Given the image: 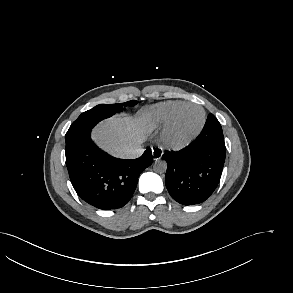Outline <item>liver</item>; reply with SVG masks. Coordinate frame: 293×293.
I'll return each mask as SVG.
<instances>
[{
	"mask_svg": "<svg viewBox=\"0 0 293 293\" xmlns=\"http://www.w3.org/2000/svg\"><path fill=\"white\" fill-rule=\"evenodd\" d=\"M153 128L148 114L138 118L117 115L101 122L94 129L92 138L111 155L123 158L124 152L130 147L140 146Z\"/></svg>",
	"mask_w": 293,
	"mask_h": 293,
	"instance_id": "obj_1",
	"label": "liver"
}]
</instances>
